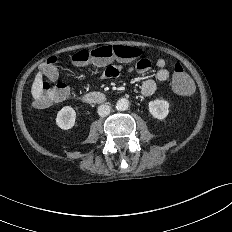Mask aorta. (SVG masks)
<instances>
[{
    "mask_svg": "<svg viewBox=\"0 0 232 232\" xmlns=\"http://www.w3.org/2000/svg\"><path fill=\"white\" fill-rule=\"evenodd\" d=\"M128 107H129V100H127L126 98H121L116 103V108L119 111L127 110Z\"/></svg>",
    "mask_w": 232,
    "mask_h": 232,
    "instance_id": "obj_1",
    "label": "aorta"
}]
</instances>
